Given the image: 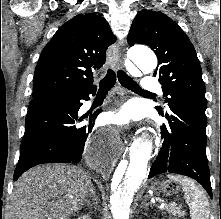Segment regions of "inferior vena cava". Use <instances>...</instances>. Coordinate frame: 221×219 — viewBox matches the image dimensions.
<instances>
[{"mask_svg":"<svg viewBox=\"0 0 221 219\" xmlns=\"http://www.w3.org/2000/svg\"><path fill=\"white\" fill-rule=\"evenodd\" d=\"M89 197L92 198L93 203H98V201H97V196H96V195H93V194L91 193Z\"/></svg>","mask_w":221,"mask_h":219,"instance_id":"inferior-vena-cava-1","label":"inferior vena cava"}]
</instances>
